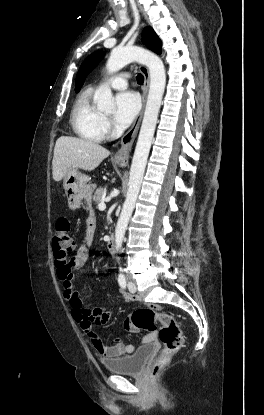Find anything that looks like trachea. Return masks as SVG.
Instances as JSON below:
<instances>
[{"instance_id": "trachea-1", "label": "trachea", "mask_w": 264, "mask_h": 415, "mask_svg": "<svg viewBox=\"0 0 264 415\" xmlns=\"http://www.w3.org/2000/svg\"><path fill=\"white\" fill-rule=\"evenodd\" d=\"M143 82H144V77H143V75L138 74V75H137V83H138V84H143Z\"/></svg>"}]
</instances>
